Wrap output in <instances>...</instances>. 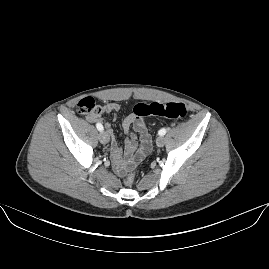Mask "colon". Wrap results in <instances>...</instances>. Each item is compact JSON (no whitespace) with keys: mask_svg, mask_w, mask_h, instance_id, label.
<instances>
[{"mask_svg":"<svg viewBox=\"0 0 269 269\" xmlns=\"http://www.w3.org/2000/svg\"><path fill=\"white\" fill-rule=\"evenodd\" d=\"M77 109L80 113L97 114L100 112V107L95 101L89 97L83 98L78 102ZM133 114L137 117H161L165 119H183L187 115L185 104L180 102H152L138 103L133 107ZM139 130L141 128L138 127ZM143 151L149 152L152 146L151 137L146 130L142 131ZM135 170L127 166L126 171L121 176L125 185H131L134 180Z\"/></svg>","mask_w":269,"mask_h":269,"instance_id":"1","label":"colon"}]
</instances>
